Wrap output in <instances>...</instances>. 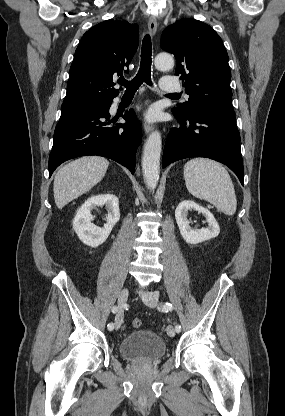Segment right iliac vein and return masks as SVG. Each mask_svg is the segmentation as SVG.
<instances>
[{"mask_svg":"<svg viewBox=\"0 0 285 416\" xmlns=\"http://www.w3.org/2000/svg\"><path fill=\"white\" fill-rule=\"evenodd\" d=\"M129 291L127 288L122 289L120 292V295L118 297V305H119V311L117 313L116 319H115V329L118 330L123 322V306L126 304L128 299Z\"/></svg>","mask_w":285,"mask_h":416,"instance_id":"obj_1","label":"right iliac vein"}]
</instances>
